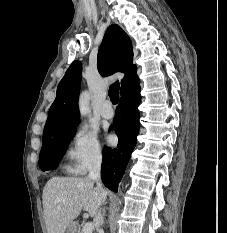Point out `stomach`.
I'll use <instances>...</instances> for the list:
<instances>
[{
  "mask_svg": "<svg viewBox=\"0 0 227 233\" xmlns=\"http://www.w3.org/2000/svg\"><path fill=\"white\" fill-rule=\"evenodd\" d=\"M78 232H79L78 225L75 222H72L67 228L65 233H78Z\"/></svg>",
  "mask_w": 227,
  "mask_h": 233,
  "instance_id": "stomach-1",
  "label": "stomach"
}]
</instances>
